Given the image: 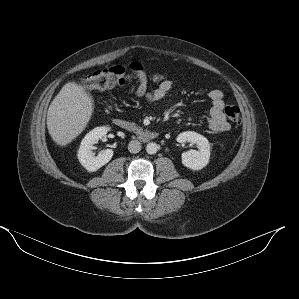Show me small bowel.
<instances>
[{
	"instance_id": "small-bowel-1",
	"label": "small bowel",
	"mask_w": 299,
	"mask_h": 299,
	"mask_svg": "<svg viewBox=\"0 0 299 299\" xmlns=\"http://www.w3.org/2000/svg\"><path fill=\"white\" fill-rule=\"evenodd\" d=\"M133 71L137 72L139 76L138 85L135 91V96L143 102H159L170 91L172 84L170 81H162L155 88L148 87V80L143 72L141 65L138 62L132 64ZM211 100V107L209 113V128L214 133H224L229 130L230 124L227 121L224 109L223 92L219 89H213L209 92Z\"/></svg>"
}]
</instances>
